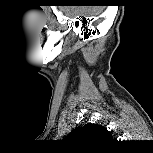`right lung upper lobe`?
Listing matches in <instances>:
<instances>
[{"mask_svg": "<svg viewBox=\"0 0 153 153\" xmlns=\"http://www.w3.org/2000/svg\"><path fill=\"white\" fill-rule=\"evenodd\" d=\"M66 140L81 147H95L112 140L110 132L97 124H86L70 132Z\"/></svg>", "mask_w": 153, "mask_h": 153, "instance_id": "right-lung-upper-lobe-1", "label": "right lung upper lobe"}]
</instances>
